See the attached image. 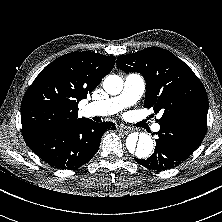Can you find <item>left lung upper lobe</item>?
Returning a JSON list of instances; mask_svg holds the SVG:
<instances>
[{
	"label": "left lung upper lobe",
	"mask_w": 222,
	"mask_h": 222,
	"mask_svg": "<svg viewBox=\"0 0 222 222\" xmlns=\"http://www.w3.org/2000/svg\"><path fill=\"white\" fill-rule=\"evenodd\" d=\"M117 67L139 72L146 80L144 106L163 111L159 123L189 120L207 125L206 90L190 67L173 53L159 47L117 57Z\"/></svg>",
	"instance_id": "1"
}]
</instances>
